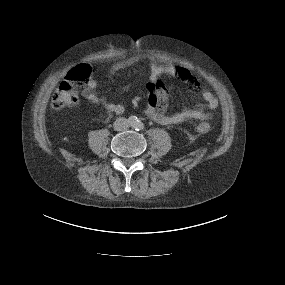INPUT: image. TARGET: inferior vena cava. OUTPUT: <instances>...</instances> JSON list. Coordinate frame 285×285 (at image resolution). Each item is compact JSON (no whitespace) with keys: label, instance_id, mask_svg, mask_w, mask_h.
I'll use <instances>...</instances> for the list:
<instances>
[{"label":"inferior vena cava","instance_id":"inferior-vena-cava-1","mask_svg":"<svg viewBox=\"0 0 285 285\" xmlns=\"http://www.w3.org/2000/svg\"><path fill=\"white\" fill-rule=\"evenodd\" d=\"M113 127L116 131L127 130L129 127V121L124 117H119L115 120Z\"/></svg>","mask_w":285,"mask_h":285}]
</instances>
